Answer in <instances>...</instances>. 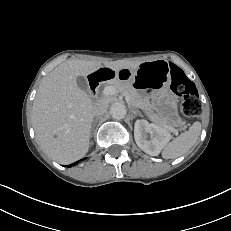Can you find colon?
<instances>
[{"label":"colon","mask_w":231,"mask_h":231,"mask_svg":"<svg viewBox=\"0 0 231 231\" xmlns=\"http://www.w3.org/2000/svg\"><path fill=\"white\" fill-rule=\"evenodd\" d=\"M171 87L174 92L184 98L182 111L186 116L196 117L201 114L202 107L196 86L180 69L174 70Z\"/></svg>","instance_id":"colon-1"}]
</instances>
